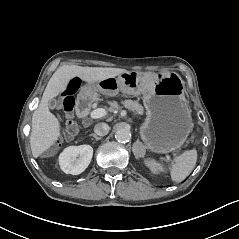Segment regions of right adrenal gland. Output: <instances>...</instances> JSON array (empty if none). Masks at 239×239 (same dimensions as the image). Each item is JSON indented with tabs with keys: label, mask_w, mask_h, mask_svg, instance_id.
<instances>
[{
	"label": "right adrenal gland",
	"mask_w": 239,
	"mask_h": 239,
	"mask_svg": "<svg viewBox=\"0 0 239 239\" xmlns=\"http://www.w3.org/2000/svg\"><path fill=\"white\" fill-rule=\"evenodd\" d=\"M90 137H93L96 141H99L102 139V137H98L96 134H91Z\"/></svg>",
	"instance_id": "1"
}]
</instances>
